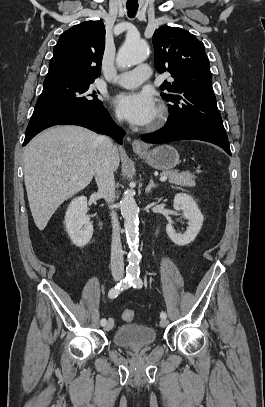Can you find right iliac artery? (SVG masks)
<instances>
[{
	"label": "right iliac artery",
	"mask_w": 265,
	"mask_h": 407,
	"mask_svg": "<svg viewBox=\"0 0 265 407\" xmlns=\"http://www.w3.org/2000/svg\"><path fill=\"white\" fill-rule=\"evenodd\" d=\"M131 286V279L129 278H125L123 279V281H121L120 283H118L115 287L111 288L109 293H108V297L110 299H114L116 298L123 290L128 289ZM101 325L104 326L106 324V319L103 318L100 321Z\"/></svg>",
	"instance_id": "obj_1"
}]
</instances>
